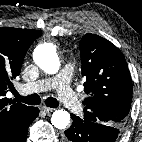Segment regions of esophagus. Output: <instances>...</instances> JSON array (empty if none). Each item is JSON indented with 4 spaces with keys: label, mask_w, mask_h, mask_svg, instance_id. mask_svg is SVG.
<instances>
[{
    "label": "esophagus",
    "mask_w": 142,
    "mask_h": 142,
    "mask_svg": "<svg viewBox=\"0 0 142 142\" xmlns=\"http://www.w3.org/2000/svg\"><path fill=\"white\" fill-rule=\"evenodd\" d=\"M42 110L45 112V113H51L54 111L53 108H49L47 106H42Z\"/></svg>",
    "instance_id": "1"
}]
</instances>
